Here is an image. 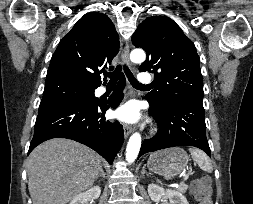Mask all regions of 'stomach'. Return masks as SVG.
I'll use <instances>...</instances> for the list:
<instances>
[{
  "mask_svg": "<svg viewBox=\"0 0 253 204\" xmlns=\"http://www.w3.org/2000/svg\"><path fill=\"white\" fill-rule=\"evenodd\" d=\"M189 156L180 147H173L152 153L147 161L148 169L166 178L181 174L187 167Z\"/></svg>",
  "mask_w": 253,
  "mask_h": 204,
  "instance_id": "1",
  "label": "stomach"
}]
</instances>
